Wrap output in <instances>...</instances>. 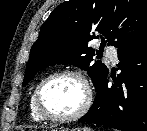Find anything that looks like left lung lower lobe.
<instances>
[{
	"mask_svg": "<svg viewBox=\"0 0 147 131\" xmlns=\"http://www.w3.org/2000/svg\"><path fill=\"white\" fill-rule=\"evenodd\" d=\"M122 71L111 88L107 76L79 121L121 131H147V30L118 50Z\"/></svg>",
	"mask_w": 147,
	"mask_h": 131,
	"instance_id": "0a47b994",
	"label": "left lung lower lobe"
}]
</instances>
